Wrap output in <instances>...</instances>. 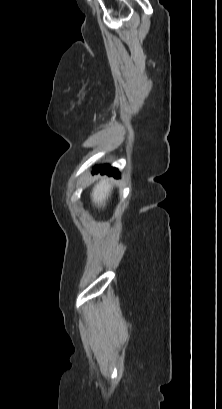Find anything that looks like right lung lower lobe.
<instances>
[{
  "label": "right lung lower lobe",
  "instance_id": "right-lung-lower-lobe-1",
  "mask_svg": "<svg viewBox=\"0 0 222 409\" xmlns=\"http://www.w3.org/2000/svg\"><path fill=\"white\" fill-rule=\"evenodd\" d=\"M95 172L106 173L109 176H114L116 178L120 177L119 172L115 168L110 167L109 165L99 166L96 168Z\"/></svg>",
  "mask_w": 222,
  "mask_h": 409
}]
</instances>
